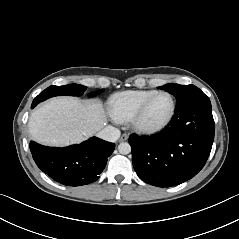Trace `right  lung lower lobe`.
<instances>
[{"label": "right lung lower lobe", "instance_id": "1", "mask_svg": "<svg viewBox=\"0 0 239 239\" xmlns=\"http://www.w3.org/2000/svg\"><path fill=\"white\" fill-rule=\"evenodd\" d=\"M114 149L115 144L96 137L63 148L30 142L37 166L52 179L67 186H81L98 180Z\"/></svg>", "mask_w": 239, "mask_h": 239}]
</instances>
